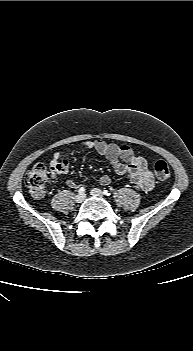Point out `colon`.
<instances>
[{
    "label": "colon",
    "mask_w": 193,
    "mask_h": 351,
    "mask_svg": "<svg viewBox=\"0 0 193 351\" xmlns=\"http://www.w3.org/2000/svg\"><path fill=\"white\" fill-rule=\"evenodd\" d=\"M153 169L159 181H167L170 179V168L163 160H157L153 165ZM47 179L48 170L44 164H36L33 169L28 172L25 178V184L32 197L35 199H42L45 197Z\"/></svg>",
    "instance_id": "5ec220e1"
}]
</instances>
